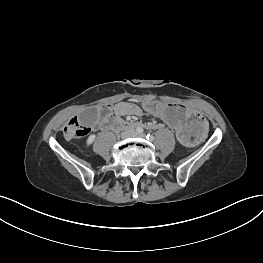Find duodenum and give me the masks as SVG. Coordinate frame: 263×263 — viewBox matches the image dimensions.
Listing matches in <instances>:
<instances>
[{
    "label": "duodenum",
    "mask_w": 263,
    "mask_h": 263,
    "mask_svg": "<svg viewBox=\"0 0 263 263\" xmlns=\"http://www.w3.org/2000/svg\"><path fill=\"white\" fill-rule=\"evenodd\" d=\"M105 126L109 129H116V128H121V129H135L136 128L137 129L139 127H142L143 125L139 123L123 121L116 116H112L107 119Z\"/></svg>",
    "instance_id": "410a0bca"
}]
</instances>
